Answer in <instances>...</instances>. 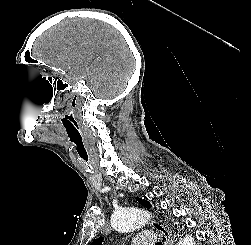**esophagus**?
Listing matches in <instances>:
<instances>
[{"label":"esophagus","instance_id":"1","mask_svg":"<svg viewBox=\"0 0 251 245\" xmlns=\"http://www.w3.org/2000/svg\"><path fill=\"white\" fill-rule=\"evenodd\" d=\"M151 226L159 233V235L163 238V245H173L174 237L172 233L162 224L158 223L155 220L150 222Z\"/></svg>","mask_w":251,"mask_h":245}]
</instances>
